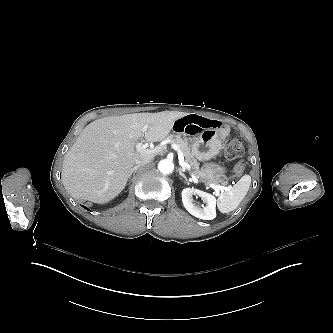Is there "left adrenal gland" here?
<instances>
[{
	"label": "left adrenal gland",
	"mask_w": 333,
	"mask_h": 333,
	"mask_svg": "<svg viewBox=\"0 0 333 333\" xmlns=\"http://www.w3.org/2000/svg\"><path fill=\"white\" fill-rule=\"evenodd\" d=\"M179 174H180V176L184 177L187 182H189V180H188L187 176L185 175V173L183 172L182 168H179Z\"/></svg>",
	"instance_id": "a2214340"
}]
</instances>
